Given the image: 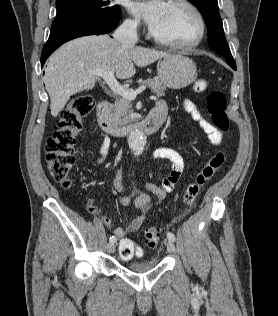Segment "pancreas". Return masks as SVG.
Listing matches in <instances>:
<instances>
[{
  "label": "pancreas",
  "instance_id": "obj_1",
  "mask_svg": "<svg viewBox=\"0 0 278 316\" xmlns=\"http://www.w3.org/2000/svg\"><path fill=\"white\" fill-rule=\"evenodd\" d=\"M139 84L148 85L152 93H155L158 97L165 95L164 91L166 90V87L162 85V82L157 77L153 79L139 80ZM132 112L131 100L119 97L109 111L108 119L115 127L125 126L133 120V117L130 116V113Z\"/></svg>",
  "mask_w": 278,
  "mask_h": 316
}]
</instances>
